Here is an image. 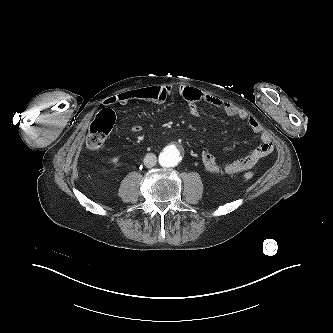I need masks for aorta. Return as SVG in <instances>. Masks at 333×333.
<instances>
[{"instance_id":"1","label":"aorta","mask_w":333,"mask_h":333,"mask_svg":"<svg viewBox=\"0 0 333 333\" xmlns=\"http://www.w3.org/2000/svg\"><path fill=\"white\" fill-rule=\"evenodd\" d=\"M180 152L179 148H167L163 150V152L159 155V163L163 167H174L178 165L180 159Z\"/></svg>"}]
</instances>
